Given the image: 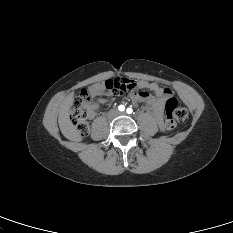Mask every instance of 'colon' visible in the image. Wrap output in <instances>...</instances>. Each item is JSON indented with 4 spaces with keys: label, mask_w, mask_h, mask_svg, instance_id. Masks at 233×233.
I'll use <instances>...</instances> for the list:
<instances>
[{
    "label": "colon",
    "mask_w": 233,
    "mask_h": 233,
    "mask_svg": "<svg viewBox=\"0 0 233 233\" xmlns=\"http://www.w3.org/2000/svg\"><path fill=\"white\" fill-rule=\"evenodd\" d=\"M105 88L117 94H123L136 88V81L127 78L109 79L104 82ZM91 97L87 90H82L74 99L71 108V120L75 125L80 136H87L89 133V124L87 121V112ZM166 119L165 127L168 130L174 129L179 123L183 122L188 112L183 107H178L177 100L170 97L165 102Z\"/></svg>",
    "instance_id": "5ec220e1"
}]
</instances>
